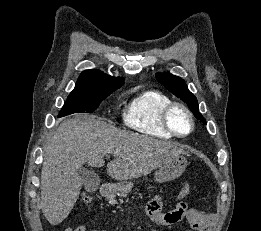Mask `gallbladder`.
<instances>
[{
	"label": "gallbladder",
	"instance_id": "gallbladder-1",
	"mask_svg": "<svg viewBox=\"0 0 261 231\" xmlns=\"http://www.w3.org/2000/svg\"><path fill=\"white\" fill-rule=\"evenodd\" d=\"M78 174L85 186V188L88 191L96 190L99 186V177L97 174H95L92 171H89L88 169L84 167H80L78 169Z\"/></svg>",
	"mask_w": 261,
	"mask_h": 231
}]
</instances>
